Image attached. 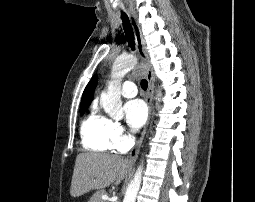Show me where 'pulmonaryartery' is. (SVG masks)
<instances>
[{"instance_id":"pulmonary-artery-1","label":"pulmonary artery","mask_w":255,"mask_h":202,"mask_svg":"<svg viewBox=\"0 0 255 202\" xmlns=\"http://www.w3.org/2000/svg\"><path fill=\"white\" fill-rule=\"evenodd\" d=\"M121 93L126 98H132L137 95V87L131 81H126L121 89Z\"/></svg>"}]
</instances>
